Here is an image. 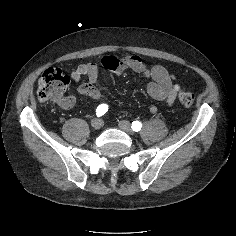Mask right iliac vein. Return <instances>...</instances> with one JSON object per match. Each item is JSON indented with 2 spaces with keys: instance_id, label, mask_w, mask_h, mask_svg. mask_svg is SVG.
Listing matches in <instances>:
<instances>
[{
  "instance_id": "1",
  "label": "right iliac vein",
  "mask_w": 236,
  "mask_h": 236,
  "mask_svg": "<svg viewBox=\"0 0 236 236\" xmlns=\"http://www.w3.org/2000/svg\"><path fill=\"white\" fill-rule=\"evenodd\" d=\"M91 126H92L93 129L98 130V129L101 128L102 122H101L100 119L95 118L91 121Z\"/></svg>"
}]
</instances>
